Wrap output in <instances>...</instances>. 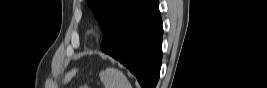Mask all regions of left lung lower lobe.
<instances>
[{
	"instance_id": "1",
	"label": "left lung lower lobe",
	"mask_w": 267,
	"mask_h": 88,
	"mask_svg": "<svg viewBox=\"0 0 267 88\" xmlns=\"http://www.w3.org/2000/svg\"><path fill=\"white\" fill-rule=\"evenodd\" d=\"M157 0H140L104 34L101 50L125 65L143 88H155L162 59Z\"/></svg>"
}]
</instances>
